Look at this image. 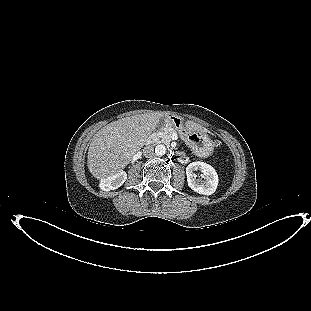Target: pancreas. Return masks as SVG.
Instances as JSON below:
<instances>
[{"mask_svg": "<svg viewBox=\"0 0 311 311\" xmlns=\"http://www.w3.org/2000/svg\"><path fill=\"white\" fill-rule=\"evenodd\" d=\"M175 133V130L172 128H165L161 131L155 133L154 140L163 142V143H170L172 134Z\"/></svg>", "mask_w": 311, "mask_h": 311, "instance_id": "cf45deb5", "label": "pancreas"}]
</instances>
